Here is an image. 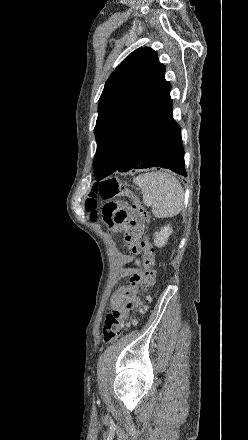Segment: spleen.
Instances as JSON below:
<instances>
[{"mask_svg": "<svg viewBox=\"0 0 248 440\" xmlns=\"http://www.w3.org/2000/svg\"><path fill=\"white\" fill-rule=\"evenodd\" d=\"M134 183L141 188L143 201L152 207L155 217H173L183 209V188L171 174L161 171L145 173L138 175Z\"/></svg>", "mask_w": 248, "mask_h": 440, "instance_id": "obj_1", "label": "spleen"}]
</instances>
